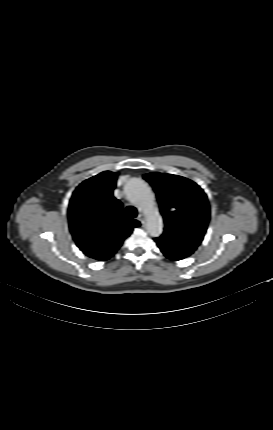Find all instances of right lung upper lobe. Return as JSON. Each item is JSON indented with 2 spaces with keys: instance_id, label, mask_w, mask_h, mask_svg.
<instances>
[{
  "instance_id": "obj_1",
  "label": "right lung upper lobe",
  "mask_w": 273,
  "mask_h": 430,
  "mask_svg": "<svg viewBox=\"0 0 273 430\" xmlns=\"http://www.w3.org/2000/svg\"><path fill=\"white\" fill-rule=\"evenodd\" d=\"M117 173L104 171L82 182L68 207L69 228L83 253L105 261L115 254L137 220L123 218V205L114 198Z\"/></svg>"
}]
</instances>
